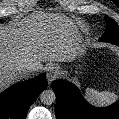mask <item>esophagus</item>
Instances as JSON below:
<instances>
[{
    "mask_svg": "<svg viewBox=\"0 0 119 119\" xmlns=\"http://www.w3.org/2000/svg\"><path fill=\"white\" fill-rule=\"evenodd\" d=\"M59 74H60L59 68L56 66H53L49 69L47 73V78L51 82L54 79H56L59 76Z\"/></svg>",
    "mask_w": 119,
    "mask_h": 119,
    "instance_id": "esophagus-1",
    "label": "esophagus"
}]
</instances>
